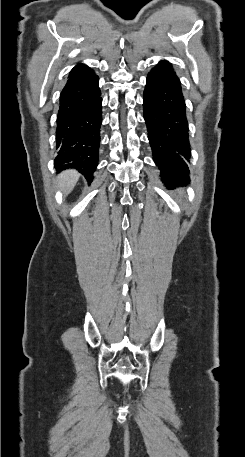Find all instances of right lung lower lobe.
<instances>
[{
    "label": "right lung lower lobe",
    "mask_w": 245,
    "mask_h": 457,
    "mask_svg": "<svg viewBox=\"0 0 245 457\" xmlns=\"http://www.w3.org/2000/svg\"><path fill=\"white\" fill-rule=\"evenodd\" d=\"M91 70L69 74L57 115L55 168H76L91 182L98 164L102 98Z\"/></svg>",
    "instance_id": "1"
}]
</instances>
